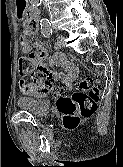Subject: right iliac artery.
I'll return each instance as SVG.
<instances>
[{"mask_svg": "<svg viewBox=\"0 0 123 167\" xmlns=\"http://www.w3.org/2000/svg\"><path fill=\"white\" fill-rule=\"evenodd\" d=\"M48 32L47 29L43 30V35L46 34Z\"/></svg>", "mask_w": 123, "mask_h": 167, "instance_id": "right-iliac-artery-1", "label": "right iliac artery"}]
</instances>
